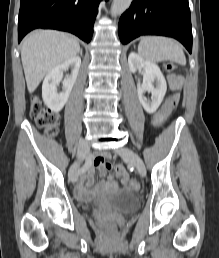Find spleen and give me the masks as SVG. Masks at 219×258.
<instances>
[{
  "mask_svg": "<svg viewBox=\"0 0 219 258\" xmlns=\"http://www.w3.org/2000/svg\"><path fill=\"white\" fill-rule=\"evenodd\" d=\"M138 53L143 59L151 62L169 60L180 65L186 64L181 45L174 39L167 37H143L138 45Z\"/></svg>",
  "mask_w": 219,
  "mask_h": 258,
  "instance_id": "obj_1",
  "label": "spleen"
}]
</instances>
